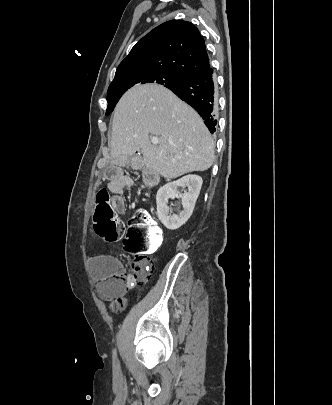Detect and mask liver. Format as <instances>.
<instances>
[{
    "label": "liver",
    "mask_w": 332,
    "mask_h": 405,
    "mask_svg": "<svg viewBox=\"0 0 332 405\" xmlns=\"http://www.w3.org/2000/svg\"><path fill=\"white\" fill-rule=\"evenodd\" d=\"M110 148L113 164L129 166L141 150L149 170L172 179L209 169L215 144L192 107L165 87L146 84L129 89L117 103Z\"/></svg>",
    "instance_id": "liver-1"
}]
</instances>
